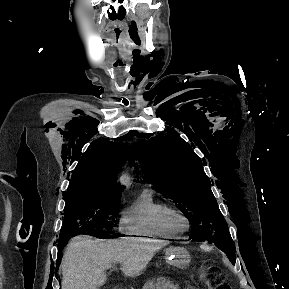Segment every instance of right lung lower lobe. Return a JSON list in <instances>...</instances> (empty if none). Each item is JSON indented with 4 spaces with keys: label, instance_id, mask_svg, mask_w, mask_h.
I'll use <instances>...</instances> for the list:
<instances>
[{
    "label": "right lung lower lobe",
    "instance_id": "98d812e1",
    "mask_svg": "<svg viewBox=\"0 0 289 289\" xmlns=\"http://www.w3.org/2000/svg\"><path fill=\"white\" fill-rule=\"evenodd\" d=\"M65 244H66V243L63 242V241H59V242H58V260H57L58 264H59L60 254L62 253V250H63Z\"/></svg>",
    "mask_w": 289,
    "mask_h": 289
}]
</instances>
